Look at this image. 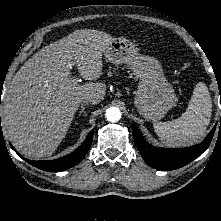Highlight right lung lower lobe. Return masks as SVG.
Instances as JSON below:
<instances>
[{
	"label": "right lung lower lobe",
	"instance_id": "1",
	"mask_svg": "<svg viewBox=\"0 0 221 221\" xmlns=\"http://www.w3.org/2000/svg\"><path fill=\"white\" fill-rule=\"evenodd\" d=\"M1 127V118H0ZM93 139V130L88 134L85 141L72 153L51 161H31L25 159L29 164L48 172H58L62 170L69 169L80 162L88 152L91 147ZM13 148V146L11 145ZM14 149V148H13ZM21 158H23L19 153H17ZM24 159V158H23Z\"/></svg>",
	"mask_w": 221,
	"mask_h": 221
}]
</instances>
